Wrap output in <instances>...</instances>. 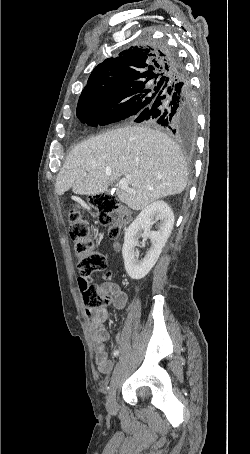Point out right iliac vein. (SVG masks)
I'll return each mask as SVG.
<instances>
[{"label":"right iliac vein","mask_w":250,"mask_h":454,"mask_svg":"<svg viewBox=\"0 0 250 454\" xmlns=\"http://www.w3.org/2000/svg\"><path fill=\"white\" fill-rule=\"evenodd\" d=\"M122 369H123L122 358H119L118 363L116 364V367L113 371L112 379L108 390L107 410L111 413L115 412L117 409L116 391L120 383Z\"/></svg>","instance_id":"obj_1"}]
</instances>
